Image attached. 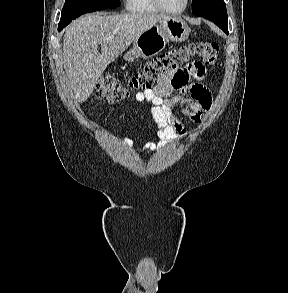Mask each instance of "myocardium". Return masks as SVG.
<instances>
[{
    "instance_id": "obj_1",
    "label": "myocardium",
    "mask_w": 288,
    "mask_h": 293,
    "mask_svg": "<svg viewBox=\"0 0 288 293\" xmlns=\"http://www.w3.org/2000/svg\"><path fill=\"white\" fill-rule=\"evenodd\" d=\"M153 2L160 11L165 12L167 14H172V15H178L183 13L187 9L189 4V0H184V4L180 9L171 10L165 7L161 0H153Z\"/></svg>"
}]
</instances>
